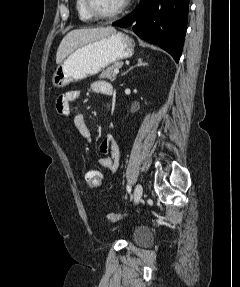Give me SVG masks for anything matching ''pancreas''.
<instances>
[{
	"instance_id": "pancreas-1",
	"label": "pancreas",
	"mask_w": 240,
	"mask_h": 287,
	"mask_svg": "<svg viewBox=\"0 0 240 287\" xmlns=\"http://www.w3.org/2000/svg\"><path fill=\"white\" fill-rule=\"evenodd\" d=\"M123 65L122 62H115L112 65L108 66L102 73L101 77L110 80L111 82L116 79V73L114 72L115 69L121 68Z\"/></svg>"
}]
</instances>
